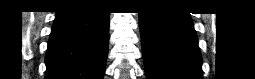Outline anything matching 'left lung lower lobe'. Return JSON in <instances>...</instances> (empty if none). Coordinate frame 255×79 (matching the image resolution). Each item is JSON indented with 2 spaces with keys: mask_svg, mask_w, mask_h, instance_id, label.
I'll list each match as a JSON object with an SVG mask.
<instances>
[{
  "mask_svg": "<svg viewBox=\"0 0 255 79\" xmlns=\"http://www.w3.org/2000/svg\"><path fill=\"white\" fill-rule=\"evenodd\" d=\"M147 79H202V59L190 16L169 9L140 13Z\"/></svg>",
  "mask_w": 255,
  "mask_h": 79,
  "instance_id": "left-lung-lower-lobe-1",
  "label": "left lung lower lobe"
}]
</instances>
